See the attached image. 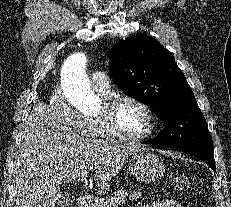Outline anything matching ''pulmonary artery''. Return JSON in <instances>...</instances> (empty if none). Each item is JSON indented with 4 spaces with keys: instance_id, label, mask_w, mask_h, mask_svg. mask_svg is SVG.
<instances>
[{
    "instance_id": "e3ab8cb5",
    "label": "pulmonary artery",
    "mask_w": 231,
    "mask_h": 207,
    "mask_svg": "<svg viewBox=\"0 0 231 207\" xmlns=\"http://www.w3.org/2000/svg\"><path fill=\"white\" fill-rule=\"evenodd\" d=\"M92 87L97 92L109 93L111 81L109 76L103 71H95L90 76Z\"/></svg>"
}]
</instances>
